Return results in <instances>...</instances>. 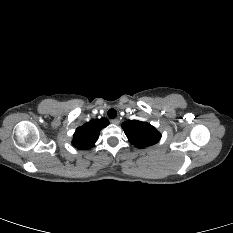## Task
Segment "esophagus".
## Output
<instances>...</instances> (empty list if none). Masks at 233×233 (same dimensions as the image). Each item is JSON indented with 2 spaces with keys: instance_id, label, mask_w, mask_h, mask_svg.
<instances>
[{
  "instance_id": "1",
  "label": "esophagus",
  "mask_w": 233,
  "mask_h": 233,
  "mask_svg": "<svg viewBox=\"0 0 233 233\" xmlns=\"http://www.w3.org/2000/svg\"><path fill=\"white\" fill-rule=\"evenodd\" d=\"M111 123L115 124V125H118L120 123V120L115 118V119H112L111 120Z\"/></svg>"
}]
</instances>
